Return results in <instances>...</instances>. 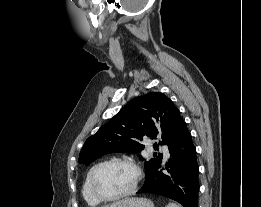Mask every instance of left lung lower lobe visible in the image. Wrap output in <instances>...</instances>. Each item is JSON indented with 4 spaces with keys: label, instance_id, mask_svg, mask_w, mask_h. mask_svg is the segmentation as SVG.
I'll return each mask as SVG.
<instances>
[{
    "label": "left lung lower lobe",
    "instance_id": "1",
    "mask_svg": "<svg viewBox=\"0 0 261 207\" xmlns=\"http://www.w3.org/2000/svg\"><path fill=\"white\" fill-rule=\"evenodd\" d=\"M170 159L160 170L161 163L150 173L137 192L157 194L179 202L183 207H197L199 167L196 148L186 123L180 126L176 138L169 146Z\"/></svg>",
    "mask_w": 261,
    "mask_h": 207
}]
</instances>
